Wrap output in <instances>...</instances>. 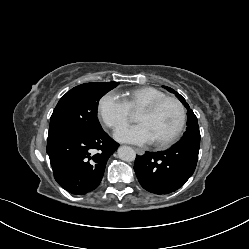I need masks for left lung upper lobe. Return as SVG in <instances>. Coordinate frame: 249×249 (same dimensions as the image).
I'll return each mask as SVG.
<instances>
[{"mask_svg":"<svg viewBox=\"0 0 249 249\" xmlns=\"http://www.w3.org/2000/svg\"><path fill=\"white\" fill-rule=\"evenodd\" d=\"M165 89H167L169 92L174 93L176 97L183 103V105L187 108V128L186 132L184 133L183 137L178 143L183 142H196L200 143V131L199 126L197 122V117L193 113V111L190 109L189 105L185 102V99L175 90L172 88L163 86Z\"/></svg>","mask_w":249,"mask_h":249,"instance_id":"1","label":"left lung upper lobe"}]
</instances>
